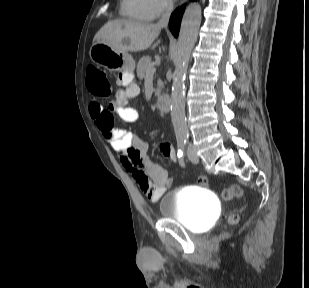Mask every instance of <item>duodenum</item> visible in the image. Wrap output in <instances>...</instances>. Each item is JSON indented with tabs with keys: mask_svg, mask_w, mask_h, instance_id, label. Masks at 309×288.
<instances>
[{
	"mask_svg": "<svg viewBox=\"0 0 309 288\" xmlns=\"http://www.w3.org/2000/svg\"><path fill=\"white\" fill-rule=\"evenodd\" d=\"M157 108L163 112H168L171 107V98L168 95H162L156 100Z\"/></svg>",
	"mask_w": 309,
	"mask_h": 288,
	"instance_id": "1",
	"label": "duodenum"
}]
</instances>
